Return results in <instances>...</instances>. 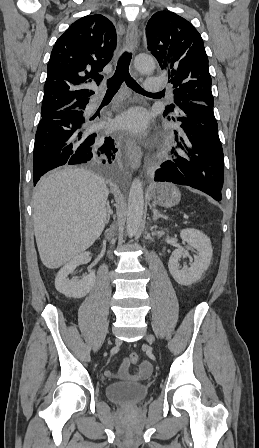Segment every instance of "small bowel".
I'll use <instances>...</instances> for the list:
<instances>
[{
    "mask_svg": "<svg viewBox=\"0 0 259 448\" xmlns=\"http://www.w3.org/2000/svg\"><path fill=\"white\" fill-rule=\"evenodd\" d=\"M129 365H130L129 360L125 359L120 366L118 374H116L112 370H106L105 375L108 378H114L116 376H119L120 378L128 380V381H140V380L146 379L151 374L152 366H151L150 362L147 360H143L139 364L137 372L134 374H132L129 371Z\"/></svg>",
    "mask_w": 259,
    "mask_h": 448,
    "instance_id": "small-bowel-1",
    "label": "small bowel"
}]
</instances>
